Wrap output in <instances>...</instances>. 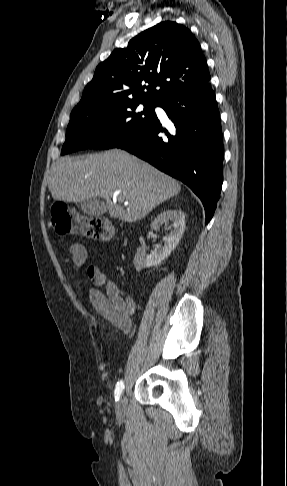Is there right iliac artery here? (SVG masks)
I'll return each instance as SVG.
<instances>
[{
	"label": "right iliac artery",
	"mask_w": 287,
	"mask_h": 486,
	"mask_svg": "<svg viewBox=\"0 0 287 486\" xmlns=\"http://www.w3.org/2000/svg\"><path fill=\"white\" fill-rule=\"evenodd\" d=\"M124 389V382L120 381L117 383L116 388H115V400L118 401L120 399V395Z\"/></svg>",
	"instance_id": "right-iliac-artery-1"
}]
</instances>
